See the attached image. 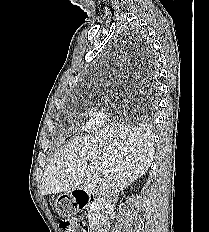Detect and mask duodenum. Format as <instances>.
Masks as SVG:
<instances>
[{
	"instance_id": "duodenum-1",
	"label": "duodenum",
	"mask_w": 209,
	"mask_h": 232,
	"mask_svg": "<svg viewBox=\"0 0 209 232\" xmlns=\"http://www.w3.org/2000/svg\"><path fill=\"white\" fill-rule=\"evenodd\" d=\"M74 197L77 198V204L79 208H86L88 206H92L96 210H101L104 206L103 199L99 197H95L90 194L84 188H76L74 190ZM92 232H104V222L100 217H97L92 223Z\"/></svg>"
}]
</instances>
